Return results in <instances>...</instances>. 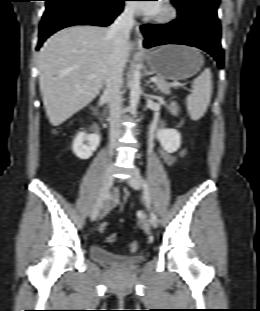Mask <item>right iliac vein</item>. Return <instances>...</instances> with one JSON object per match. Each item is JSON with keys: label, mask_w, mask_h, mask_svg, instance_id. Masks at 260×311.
I'll return each instance as SVG.
<instances>
[{"label": "right iliac vein", "mask_w": 260, "mask_h": 311, "mask_svg": "<svg viewBox=\"0 0 260 311\" xmlns=\"http://www.w3.org/2000/svg\"><path fill=\"white\" fill-rule=\"evenodd\" d=\"M113 174H114V166H113L112 160H110L109 163L107 164L106 168H105L100 193H99V195H98V197H97V199H96V201L92 207L91 213H90V218L92 221H95L101 212L104 198H105L107 192L109 191V189L111 188L112 183H113Z\"/></svg>", "instance_id": "obj_1"}]
</instances>
